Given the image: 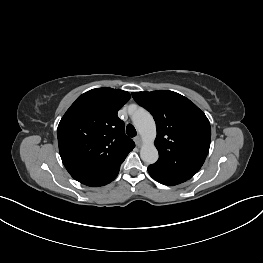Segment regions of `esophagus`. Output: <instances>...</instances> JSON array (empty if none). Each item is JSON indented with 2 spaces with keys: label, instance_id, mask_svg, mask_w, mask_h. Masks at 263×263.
Returning a JSON list of instances; mask_svg holds the SVG:
<instances>
[{
  "label": "esophagus",
  "instance_id": "34e87169",
  "mask_svg": "<svg viewBox=\"0 0 263 263\" xmlns=\"http://www.w3.org/2000/svg\"><path fill=\"white\" fill-rule=\"evenodd\" d=\"M134 140H135V142H136V144H137L138 146H140V145L142 144V140H141V137H140V136H136Z\"/></svg>",
  "mask_w": 263,
  "mask_h": 263
}]
</instances>
